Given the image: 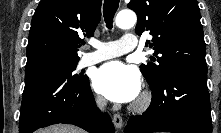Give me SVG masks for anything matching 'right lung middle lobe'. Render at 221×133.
<instances>
[{
	"label": "right lung middle lobe",
	"instance_id": "1",
	"mask_svg": "<svg viewBox=\"0 0 221 133\" xmlns=\"http://www.w3.org/2000/svg\"><path fill=\"white\" fill-rule=\"evenodd\" d=\"M78 62L69 63V64H55L47 66L41 70H55L62 75H64L67 79L71 80L72 82H81L87 78V76H83L82 74H74V70L76 69Z\"/></svg>",
	"mask_w": 221,
	"mask_h": 133
}]
</instances>
